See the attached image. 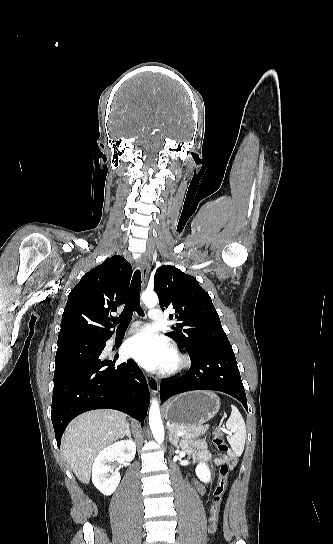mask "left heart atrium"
Returning <instances> with one entry per match:
<instances>
[{"label": "left heart atrium", "instance_id": "1", "mask_svg": "<svg viewBox=\"0 0 333 544\" xmlns=\"http://www.w3.org/2000/svg\"><path fill=\"white\" fill-rule=\"evenodd\" d=\"M124 351L149 370L165 368L171 359V349L167 342L149 331H141L129 338Z\"/></svg>", "mask_w": 333, "mask_h": 544}]
</instances>
